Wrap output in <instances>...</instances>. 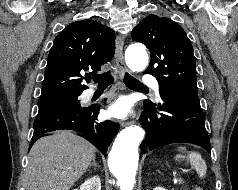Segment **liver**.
I'll list each match as a JSON object with an SVG mask.
<instances>
[{
	"label": "liver",
	"instance_id": "obj_1",
	"mask_svg": "<svg viewBox=\"0 0 238 190\" xmlns=\"http://www.w3.org/2000/svg\"><path fill=\"white\" fill-rule=\"evenodd\" d=\"M95 158V147L71 131L37 140L29 152L26 190H70Z\"/></svg>",
	"mask_w": 238,
	"mask_h": 190
}]
</instances>
